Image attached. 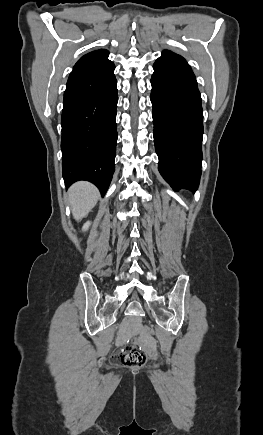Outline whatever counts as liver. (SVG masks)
Masks as SVG:
<instances>
[{"label":"liver","instance_id":"6515ba94","mask_svg":"<svg viewBox=\"0 0 263 435\" xmlns=\"http://www.w3.org/2000/svg\"><path fill=\"white\" fill-rule=\"evenodd\" d=\"M72 214L75 220H81L96 205L99 193L92 184L80 181L68 191Z\"/></svg>","mask_w":263,"mask_h":435}]
</instances>
